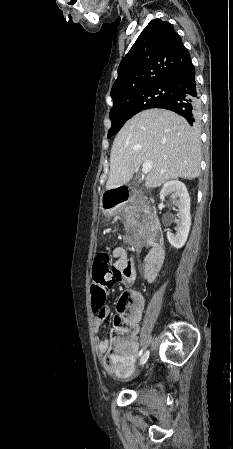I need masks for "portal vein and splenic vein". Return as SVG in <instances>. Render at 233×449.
<instances>
[{
	"label": "portal vein and splenic vein",
	"instance_id": "obj_1",
	"mask_svg": "<svg viewBox=\"0 0 233 449\" xmlns=\"http://www.w3.org/2000/svg\"><path fill=\"white\" fill-rule=\"evenodd\" d=\"M153 163L151 161H146L142 165V172L147 174L152 169Z\"/></svg>",
	"mask_w": 233,
	"mask_h": 449
}]
</instances>
